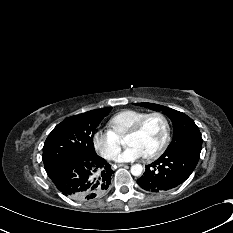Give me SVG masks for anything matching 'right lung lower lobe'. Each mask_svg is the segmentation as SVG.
<instances>
[{
	"label": "right lung lower lobe",
	"instance_id": "obj_1",
	"mask_svg": "<svg viewBox=\"0 0 233 233\" xmlns=\"http://www.w3.org/2000/svg\"><path fill=\"white\" fill-rule=\"evenodd\" d=\"M113 173L107 161L97 156L69 160L49 177L64 195L75 200H90L107 190Z\"/></svg>",
	"mask_w": 233,
	"mask_h": 233
}]
</instances>
